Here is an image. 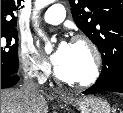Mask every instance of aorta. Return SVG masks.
Wrapping results in <instances>:
<instances>
[{
  "label": "aorta",
  "instance_id": "762f6f07",
  "mask_svg": "<svg viewBox=\"0 0 123 113\" xmlns=\"http://www.w3.org/2000/svg\"><path fill=\"white\" fill-rule=\"evenodd\" d=\"M54 0H36L35 1V12H34V18H35V15L37 14V12L42 9L43 7L49 5L50 3H52ZM38 33L40 36L43 37V39L46 41V44H45V51L47 53H50L51 50H52V45L51 43L47 40V38L44 36V34L42 33L41 30H38ZM51 41H54V38L51 40Z\"/></svg>",
  "mask_w": 123,
  "mask_h": 113
}]
</instances>
